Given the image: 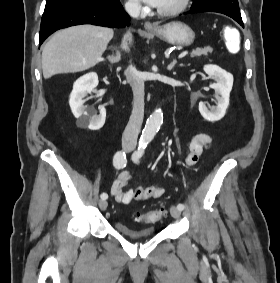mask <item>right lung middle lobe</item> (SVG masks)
Wrapping results in <instances>:
<instances>
[{
  "label": "right lung middle lobe",
  "mask_w": 280,
  "mask_h": 283,
  "mask_svg": "<svg viewBox=\"0 0 280 283\" xmlns=\"http://www.w3.org/2000/svg\"><path fill=\"white\" fill-rule=\"evenodd\" d=\"M112 0H47L45 10H49L62 5H105Z\"/></svg>",
  "instance_id": "1"
}]
</instances>
